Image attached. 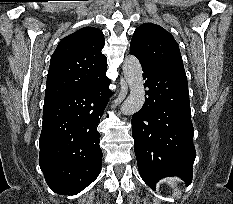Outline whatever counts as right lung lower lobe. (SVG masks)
<instances>
[{"label":"right lung lower lobe","mask_w":233,"mask_h":204,"mask_svg":"<svg viewBox=\"0 0 233 204\" xmlns=\"http://www.w3.org/2000/svg\"><path fill=\"white\" fill-rule=\"evenodd\" d=\"M104 70L89 85L44 102L39 165L49 187L76 194L101 171L97 125L112 95Z\"/></svg>","instance_id":"1"}]
</instances>
